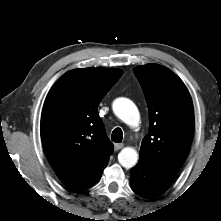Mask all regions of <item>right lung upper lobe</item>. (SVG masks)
I'll return each mask as SVG.
<instances>
[{"mask_svg": "<svg viewBox=\"0 0 221 221\" xmlns=\"http://www.w3.org/2000/svg\"><path fill=\"white\" fill-rule=\"evenodd\" d=\"M121 76L119 69L71 70L46 98L41 117L43 149L59 179L71 189L93 186L108 164L114 146L97 107Z\"/></svg>", "mask_w": 221, "mask_h": 221, "instance_id": "obj_1", "label": "right lung upper lobe"}]
</instances>
